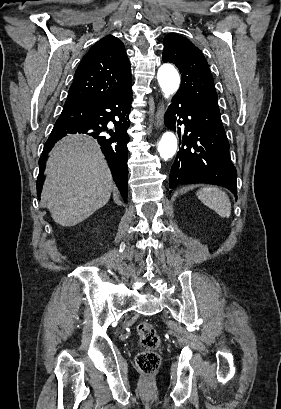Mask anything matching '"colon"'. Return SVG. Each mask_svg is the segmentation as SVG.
Here are the masks:
<instances>
[{
  "mask_svg": "<svg viewBox=\"0 0 281 409\" xmlns=\"http://www.w3.org/2000/svg\"><path fill=\"white\" fill-rule=\"evenodd\" d=\"M137 332L144 351L138 355L136 365L141 371L149 374L157 370L160 365V356L157 350L160 348L161 339L152 324H138Z\"/></svg>",
  "mask_w": 281,
  "mask_h": 409,
  "instance_id": "obj_1",
  "label": "colon"
}]
</instances>
